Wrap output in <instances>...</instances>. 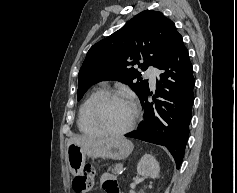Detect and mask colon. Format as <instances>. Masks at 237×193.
Here are the masks:
<instances>
[{"instance_id": "obj_1", "label": "colon", "mask_w": 237, "mask_h": 193, "mask_svg": "<svg viewBox=\"0 0 237 193\" xmlns=\"http://www.w3.org/2000/svg\"><path fill=\"white\" fill-rule=\"evenodd\" d=\"M94 167L86 165L83 171L77 174L72 182L73 193H87L93 186Z\"/></svg>"}]
</instances>
